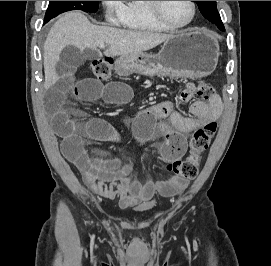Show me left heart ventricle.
<instances>
[{"label":"left heart ventricle","mask_w":271,"mask_h":266,"mask_svg":"<svg viewBox=\"0 0 271 266\" xmlns=\"http://www.w3.org/2000/svg\"><path fill=\"white\" fill-rule=\"evenodd\" d=\"M161 10L165 17L174 24L187 23L192 14L189 1H161Z\"/></svg>","instance_id":"b2bd125f"}]
</instances>
